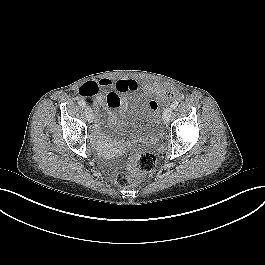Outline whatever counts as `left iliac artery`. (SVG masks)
Instances as JSON below:
<instances>
[{
  "mask_svg": "<svg viewBox=\"0 0 265 265\" xmlns=\"http://www.w3.org/2000/svg\"><path fill=\"white\" fill-rule=\"evenodd\" d=\"M178 104H179V101L177 100L173 101L170 105L171 109H175L178 106Z\"/></svg>",
  "mask_w": 265,
  "mask_h": 265,
  "instance_id": "1",
  "label": "left iliac artery"
}]
</instances>
